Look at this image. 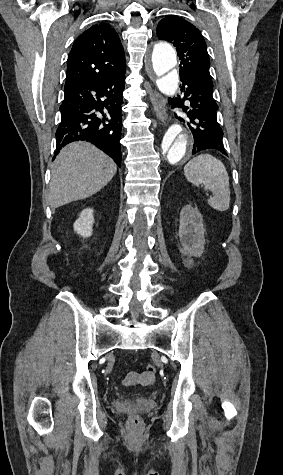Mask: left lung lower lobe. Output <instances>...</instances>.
Listing matches in <instances>:
<instances>
[{"label":"left lung lower lobe","mask_w":283,"mask_h":475,"mask_svg":"<svg viewBox=\"0 0 283 475\" xmlns=\"http://www.w3.org/2000/svg\"><path fill=\"white\" fill-rule=\"evenodd\" d=\"M180 80L181 91L185 96L182 101L189 100L192 107L186 119L194 138L192 153L215 149L227 155L222 141L223 132L216 117L218 105L212 95L213 82L193 75L180 76ZM178 119L186 121L180 117Z\"/></svg>","instance_id":"1"}]
</instances>
